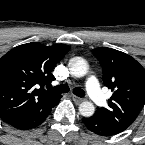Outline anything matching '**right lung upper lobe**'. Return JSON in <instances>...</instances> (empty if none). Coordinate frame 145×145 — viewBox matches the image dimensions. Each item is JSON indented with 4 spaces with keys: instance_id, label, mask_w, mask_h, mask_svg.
Segmentation results:
<instances>
[{
    "instance_id": "obj_1",
    "label": "right lung upper lobe",
    "mask_w": 145,
    "mask_h": 145,
    "mask_svg": "<svg viewBox=\"0 0 145 145\" xmlns=\"http://www.w3.org/2000/svg\"><path fill=\"white\" fill-rule=\"evenodd\" d=\"M70 47L38 42L19 45L0 58V118L8 122L37 112L60 94L44 89L55 80L52 70Z\"/></svg>"
}]
</instances>
